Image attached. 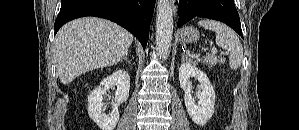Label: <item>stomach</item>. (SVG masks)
Here are the masks:
<instances>
[{
    "label": "stomach",
    "mask_w": 299,
    "mask_h": 130,
    "mask_svg": "<svg viewBox=\"0 0 299 130\" xmlns=\"http://www.w3.org/2000/svg\"><path fill=\"white\" fill-rule=\"evenodd\" d=\"M179 39L183 43H194L199 39V32L192 26H186L180 30Z\"/></svg>",
    "instance_id": "obj_1"
}]
</instances>
